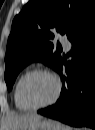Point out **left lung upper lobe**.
<instances>
[{"label": "left lung upper lobe", "mask_w": 95, "mask_h": 130, "mask_svg": "<svg viewBox=\"0 0 95 130\" xmlns=\"http://www.w3.org/2000/svg\"><path fill=\"white\" fill-rule=\"evenodd\" d=\"M95 12V0H31L15 17L7 43L4 78L8 90L29 63L41 61L56 69L59 49L50 42L54 32L68 39Z\"/></svg>", "instance_id": "left-lung-upper-lobe-1"}]
</instances>
